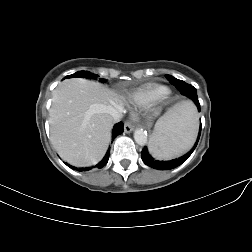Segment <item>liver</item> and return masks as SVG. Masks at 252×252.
<instances>
[{
  "label": "liver",
  "mask_w": 252,
  "mask_h": 252,
  "mask_svg": "<svg viewBox=\"0 0 252 252\" xmlns=\"http://www.w3.org/2000/svg\"><path fill=\"white\" fill-rule=\"evenodd\" d=\"M122 110L117 93L86 79H68L53 92L50 138L60 157L75 166L98 163L106 153L113 118L107 106Z\"/></svg>",
  "instance_id": "obj_1"
}]
</instances>
